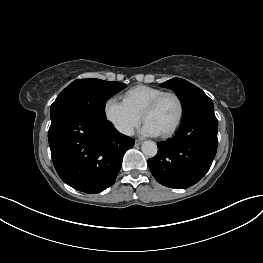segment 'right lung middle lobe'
Segmentation results:
<instances>
[{"instance_id":"1","label":"right lung middle lobe","mask_w":263,"mask_h":263,"mask_svg":"<svg viewBox=\"0 0 263 263\" xmlns=\"http://www.w3.org/2000/svg\"><path fill=\"white\" fill-rule=\"evenodd\" d=\"M125 87L126 85L121 82H108L95 78L75 80L51 105V121L66 113L105 118L106 101Z\"/></svg>"}]
</instances>
